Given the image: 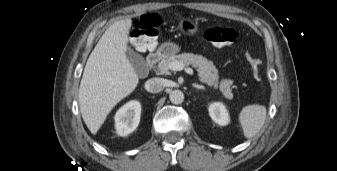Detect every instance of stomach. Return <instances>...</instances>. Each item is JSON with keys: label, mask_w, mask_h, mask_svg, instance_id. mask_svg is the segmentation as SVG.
Instances as JSON below:
<instances>
[{"label": "stomach", "mask_w": 337, "mask_h": 171, "mask_svg": "<svg viewBox=\"0 0 337 171\" xmlns=\"http://www.w3.org/2000/svg\"><path fill=\"white\" fill-rule=\"evenodd\" d=\"M179 28L181 31L187 35H193L198 30L197 22L192 21L189 18L182 19L179 23ZM160 49L166 55H172L180 51V47L174 43H164Z\"/></svg>", "instance_id": "0dacf381"}]
</instances>
